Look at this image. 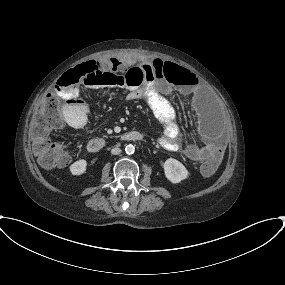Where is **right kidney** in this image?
I'll return each mask as SVG.
<instances>
[{"mask_svg": "<svg viewBox=\"0 0 285 285\" xmlns=\"http://www.w3.org/2000/svg\"><path fill=\"white\" fill-rule=\"evenodd\" d=\"M86 168H87V161L84 159H80V160L74 162L70 166V172L73 175H81V174L85 173Z\"/></svg>", "mask_w": 285, "mask_h": 285, "instance_id": "right-kidney-1", "label": "right kidney"}]
</instances>
